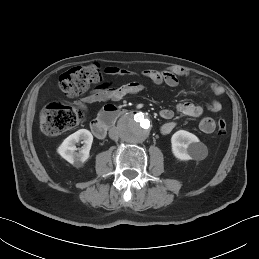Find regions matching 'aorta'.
I'll list each match as a JSON object with an SVG mask.
<instances>
[{"instance_id": "1", "label": "aorta", "mask_w": 259, "mask_h": 259, "mask_svg": "<svg viewBox=\"0 0 259 259\" xmlns=\"http://www.w3.org/2000/svg\"><path fill=\"white\" fill-rule=\"evenodd\" d=\"M151 124L142 113L128 114L120 122L122 140L136 144L143 142L149 135Z\"/></svg>"}]
</instances>
